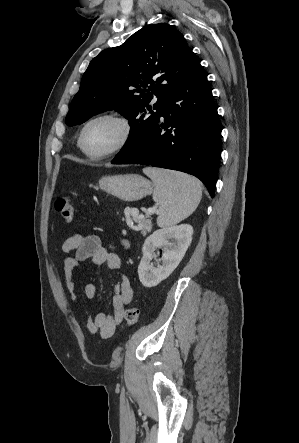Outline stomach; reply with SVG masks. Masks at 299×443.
Returning a JSON list of instances; mask_svg holds the SVG:
<instances>
[{
    "label": "stomach",
    "instance_id": "obj_1",
    "mask_svg": "<svg viewBox=\"0 0 299 443\" xmlns=\"http://www.w3.org/2000/svg\"><path fill=\"white\" fill-rule=\"evenodd\" d=\"M99 187L124 201L140 200L154 190V185L148 179L137 174L102 177Z\"/></svg>",
    "mask_w": 299,
    "mask_h": 443
}]
</instances>
